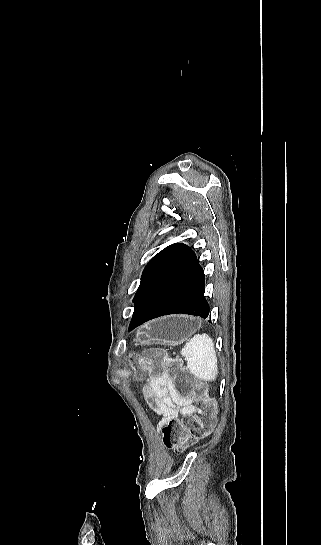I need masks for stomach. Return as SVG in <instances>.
<instances>
[{"label":"stomach","mask_w":321,"mask_h":545,"mask_svg":"<svg viewBox=\"0 0 321 545\" xmlns=\"http://www.w3.org/2000/svg\"><path fill=\"white\" fill-rule=\"evenodd\" d=\"M201 327L199 319L185 317V315H173V317H161L146 323L136 331L134 343L141 347L151 345H166L175 347L181 345L188 337Z\"/></svg>","instance_id":"0dacf381"}]
</instances>
